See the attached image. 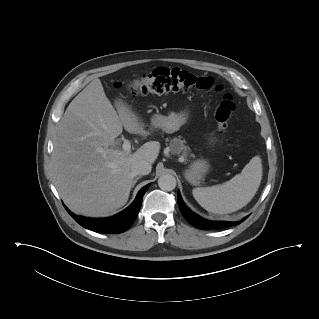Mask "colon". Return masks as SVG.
I'll return each instance as SVG.
<instances>
[{
	"label": "colon",
	"instance_id": "obj_1",
	"mask_svg": "<svg viewBox=\"0 0 319 319\" xmlns=\"http://www.w3.org/2000/svg\"><path fill=\"white\" fill-rule=\"evenodd\" d=\"M213 86L214 81L211 77H199L179 68L158 67L127 84L125 89L131 95L138 96L169 92H188L192 90H210ZM234 110L235 104L232 96L224 93L222 101L215 112L220 134L224 135L226 133Z\"/></svg>",
	"mask_w": 319,
	"mask_h": 319
}]
</instances>
